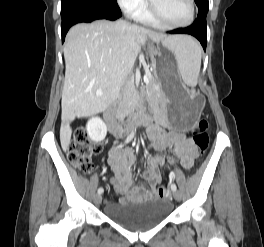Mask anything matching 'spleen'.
<instances>
[{
	"mask_svg": "<svg viewBox=\"0 0 264 247\" xmlns=\"http://www.w3.org/2000/svg\"><path fill=\"white\" fill-rule=\"evenodd\" d=\"M170 49L175 54L178 71L184 83L194 90L201 68L202 50L200 45L191 37L178 36L171 43Z\"/></svg>",
	"mask_w": 264,
	"mask_h": 247,
	"instance_id": "obj_1",
	"label": "spleen"
}]
</instances>
